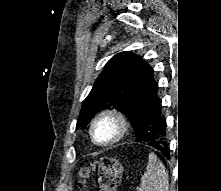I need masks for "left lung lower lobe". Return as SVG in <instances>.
Instances as JSON below:
<instances>
[{
	"label": "left lung lower lobe",
	"instance_id": "obj_1",
	"mask_svg": "<svg viewBox=\"0 0 221 191\" xmlns=\"http://www.w3.org/2000/svg\"><path fill=\"white\" fill-rule=\"evenodd\" d=\"M157 91L153 69L141 60L131 97L134 131L139 136L137 140L146 142L169 159L167 125Z\"/></svg>",
	"mask_w": 221,
	"mask_h": 191
}]
</instances>
